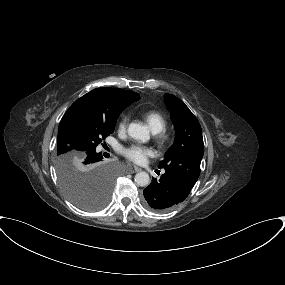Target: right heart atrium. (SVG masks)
Segmentation results:
<instances>
[{
  "instance_id": "d8ad5b80",
  "label": "right heart atrium",
  "mask_w": 285,
  "mask_h": 285,
  "mask_svg": "<svg viewBox=\"0 0 285 285\" xmlns=\"http://www.w3.org/2000/svg\"><path fill=\"white\" fill-rule=\"evenodd\" d=\"M128 123H129V117L127 115L122 116L117 124L118 131L120 133H125L127 130Z\"/></svg>"
}]
</instances>
